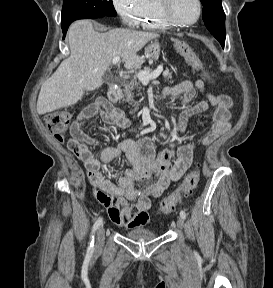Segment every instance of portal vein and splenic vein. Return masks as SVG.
<instances>
[{"label":"portal vein and splenic vein","instance_id":"portal-vein-and-splenic-vein-1","mask_svg":"<svg viewBox=\"0 0 273 288\" xmlns=\"http://www.w3.org/2000/svg\"><path fill=\"white\" fill-rule=\"evenodd\" d=\"M120 61V57H114L112 60V64L116 65ZM163 67L160 65L153 72L148 73L146 71H141L137 74V78L144 84L149 83L150 80L156 79L162 72ZM125 78H129V76H124Z\"/></svg>","mask_w":273,"mask_h":288}]
</instances>
